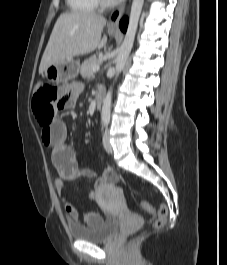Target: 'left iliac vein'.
Here are the masks:
<instances>
[{
	"label": "left iliac vein",
	"instance_id": "left-iliac-vein-1",
	"mask_svg": "<svg viewBox=\"0 0 227 265\" xmlns=\"http://www.w3.org/2000/svg\"><path fill=\"white\" fill-rule=\"evenodd\" d=\"M103 144H104V148L108 153H113V148L112 145L110 143V135L108 130H106L104 137H103Z\"/></svg>",
	"mask_w": 227,
	"mask_h": 265
}]
</instances>
